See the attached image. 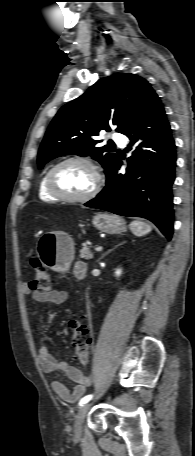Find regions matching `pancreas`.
Masks as SVG:
<instances>
[{
  "mask_svg": "<svg viewBox=\"0 0 195 456\" xmlns=\"http://www.w3.org/2000/svg\"><path fill=\"white\" fill-rule=\"evenodd\" d=\"M80 257L85 259H92L93 252L90 250V247L87 246L85 243L82 245V249L80 250Z\"/></svg>",
  "mask_w": 195,
  "mask_h": 456,
  "instance_id": "1",
  "label": "pancreas"
}]
</instances>
